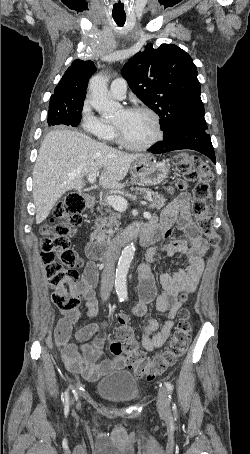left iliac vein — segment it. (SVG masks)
<instances>
[{
  "mask_svg": "<svg viewBox=\"0 0 250 454\" xmlns=\"http://www.w3.org/2000/svg\"><path fill=\"white\" fill-rule=\"evenodd\" d=\"M157 408L161 414H167L169 412L168 392L164 387H160L158 390Z\"/></svg>",
  "mask_w": 250,
  "mask_h": 454,
  "instance_id": "1",
  "label": "left iliac vein"
}]
</instances>
